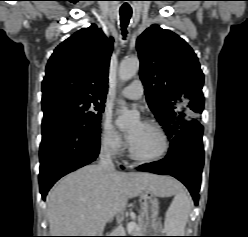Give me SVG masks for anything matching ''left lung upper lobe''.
Here are the masks:
<instances>
[{
	"label": "left lung upper lobe",
	"instance_id": "obj_1",
	"mask_svg": "<svg viewBox=\"0 0 248 237\" xmlns=\"http://www.w3.org/2000/svg\"><path fill=\"white\" fill-rule=\"evenodd\" d=\"M137 50L146 100L168 138L199 123L204 75L192 48L172 31L152 25L138 37Z\"/></svg>",
	"mask_w": 248,
	"mask_h": 237
}]
</instances>
